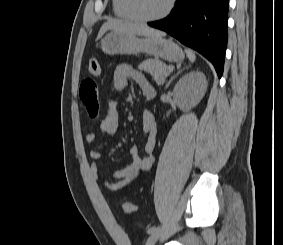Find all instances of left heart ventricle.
Here are the masks:
<instances>
[{
    "label": "left heart ventricle",
    "mask_w": 283,
    "mask_h": 245,
    "mask_svg": "<svg viewBox=\"0 0 283 245\" xmlns=\"http://www.w3.org/2000/svg\"><path fill=\"white\" fill-rule=\"evenodd\" d=\"M168 0H134L136 11L147 17L161 13L167 5Z\"/></svg>",
    "instance_id": "left-heart-ventricle-1"
}]
</instances>
